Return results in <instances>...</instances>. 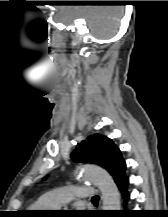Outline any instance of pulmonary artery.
<instances>
[{
	"label": "pulmonary artery",
	"mask_w": 168,
	"mask_h": 217,
	"mask_svg": "<svg viewBox=\"0 0 168 217\" xmlns=\"http://www.w3.org/2000/svg\"><path fill=\"white\" fill-rule=\"evenodd\" d=\"M95 191V188L89 186H65L45 192L40 200L50 209H59L74 200L90 199Z\"/></svg>",
	"instance_id": "pulmonary-artery-1"
}]
</instances>
